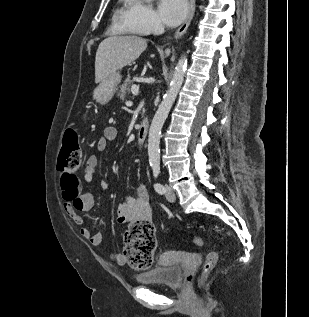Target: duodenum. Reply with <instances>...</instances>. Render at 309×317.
<instances>
[{"instance_id": "410a0bca", "label": "duodenum", "mask_w": 309, "mask_h": 317, "mask_svg": "<svg viewBox=\"0 0 309 317\" xmlns=\"http://www.w3.org/2000/svg\"><path fill=\"white\" fill-rule=\"evenodd\" d=\"M149 131V122L147 119H144L138 126V132H137V143L139 146H141L148 134Z\"/></svg>"}]
</instances>
